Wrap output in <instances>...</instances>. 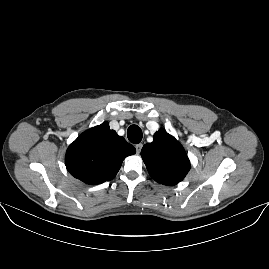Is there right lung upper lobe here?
<instances>
[{"instance_id":"cb5924a9","label":"right lung upper lobe","mask_w":269,"mask_h":269,"mask_svg":"<svg viewBox=\"0 0 269 269\" xmlns=\"http://www.w3.org/2000/svg\"><path fill=\"white\" fill-rule=\"evenodd\" d=\"M133 145L103 123L82 133L68 148L65 163L75 178L96 185L112 180Z\"/></svg>"}]
</instances>
